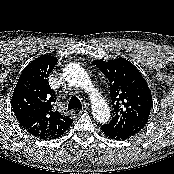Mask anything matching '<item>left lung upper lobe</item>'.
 <instances>
[{
	"label": "left lung upper lobe",
	"mask_w": 174,
	"mask_h": 174,
	"mask_svg": "<svg viewBox=\"0 0 174 174\" xmlns=\"http://www.w3.org/2000/svg\"><path fill=\"white\" fill-rule=\"evenodd\" d=\"M95 65L109 81L113 117L108 124L112 130L131 136L147 124L152 107V95L139 70L128 60H95Z\"/></svg>",
	"instance_id": "left-lung-upper-lobe-1"
}]
</instances>
